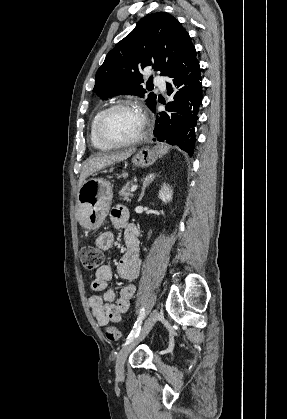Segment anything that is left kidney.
<instances>
[{
  "mask_svg": "<svg viewBox=\"0 0 287 419\" xmlns=\"http://www.w3.org/2000/svg\"><path fill=\"white\" fill-rule=\"evenodd\" d=\"M159 198L164 203L170 202L172 200V190L166 184H164L159 191Z\"/></svg>",
  "mask_w": 287,
  "mask_h": 419,
  "instance_id": "1",
  "label": "left kidney"
}]
</instances>
